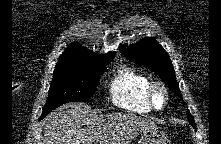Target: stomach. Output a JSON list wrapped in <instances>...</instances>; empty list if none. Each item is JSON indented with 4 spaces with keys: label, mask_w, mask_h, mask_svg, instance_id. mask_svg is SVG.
Returning a JSON list of instances; mask_svg holds the SVG:
<instances>
[{
    "label": "stomach",
    "mask_w": 221,
    "mask_h": 144,
    "mask_svg": "<svg viewBox=\"0 0 221 144\" xmlns=\"http://www.w3.org/2000/svg\"><path fill=\"white\" fill-rule=\"evenodd\" d=\"M168 136L156 129H151L143 132L138 144H169Z\"/></svg>",
    "instance_id": "0dacf381"
}]
</instances>
